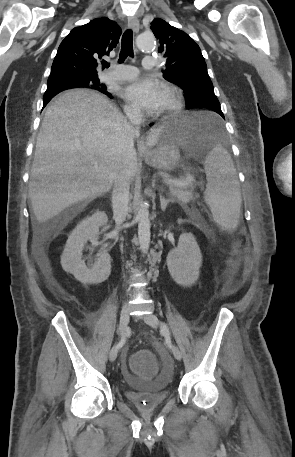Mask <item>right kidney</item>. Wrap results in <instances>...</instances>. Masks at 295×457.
I'll use <instances>...</instances> for the list:
<instances>
[{"instance_id": "right-kidney-1", "label": "right kidney", "mask_w": 295, "mask_h": 457, "mask_svg": "<svg viewBox=\"0 0 295 457\" xmlns=\"http://www.w3.org/2000/svg\"><path fill=\"white\" fill-rule=\"evenodd\" d=\"M107 215L96 211L90 217L82 220L70 234L61 255L62 268L82 284H99L108 279L111 273V257L106 251L97 255V261L92 266H86L82 260V251L88 240L92 245H98L99 227L106 225Z\"/></svg>"}]
</instances>
